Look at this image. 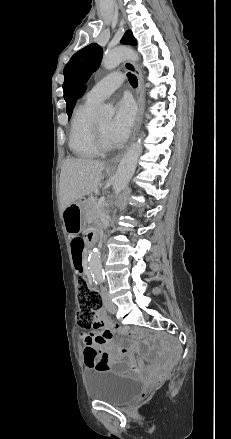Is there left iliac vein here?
Masks as SVG:
<instances>
[{"label":"left iliac vein","mask_w":231,"mask_h":439,"mask_svg":"<svg viewBox=\"0 0 231 439\" xmlns=\"http://www.w3.org/2000/svg\"><path fill=\"white\" fill-rule=\"evenodd\" d=\"M101 295H102L103 302H104V305H105L106 309H107L110 313H116V311H117V307H116V305L111 301V299H110V297H109V294H108V290H107V288H106L105 286L102 287Z\"/></svg>","instance_id":"4c4485c4"}]
</instances>
